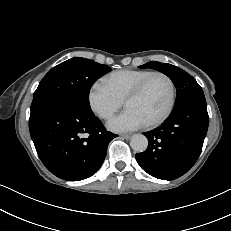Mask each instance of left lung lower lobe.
I'll use <instances>...</instances> for the list:
<instances>
[{
	"mask_svg": "<svg viewBox=\"0 0 231 231\" xmlns=\"http://www.w3.org/2000/svg\"><path fill=\"white\" fill-rule=\"evenodd\" d=\"M208 124L202 89L186 93L164 124L144 133L149 143L146 151L135 155L139 166L158 179L181 177L197 161Z\"/></svg>",
	"mask_w": 231,
	"mask_h": 231,
	"instance_id": "left-lung-lower-lobe-1",
	"label": "left lung lower lobe"
}]
</instances>
